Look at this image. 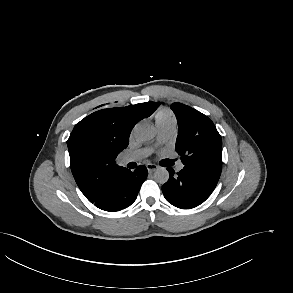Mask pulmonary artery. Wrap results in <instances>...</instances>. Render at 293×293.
<instances>
[{"instance_id":"pulmonary-artery-1","label":"pulmonary artery","mask_w":293,"mask_h":293,"mask_svg":"<svg viewBox=\"0 0 293 293\" xmlns=\"http://www.w3.org/2000/svg\"><path fill=\"white\" fill-rule=\"evenodd\" d=\"M157 130H158V134H159V139L161 141H166V140L171 139L175 135L176 127L175 126L158 127ZM149 153H150L149 149L138 150L134 153H131V154H128V155L122 157L121 163L127 164L130 162L139 161V160L145 158ZM183 167H184V165L182 163H179L177 165L178 170H182Z\"/></svg>"}]
</instances>
